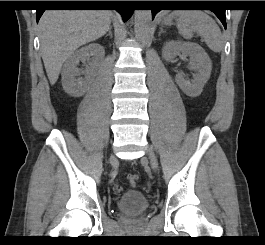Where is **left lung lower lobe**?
Here are the masks:
<instances>
[{
  "mask_svg": "<svg viewBox=\"0 0 265 245\" xmlns=\"http://www.w3.org/2000/svg\"><path fill=\"white\" fill-rule=\"evenodd\" d=\"M195 1H165V2H158V6H172V7H187V6H193L195 5ZM159 8L152 9V17L155 16V14L160 11ZM212 12L220 19L224 27L226 28V16H225V10L221 8L211 9Z\"/></svg>",
  "mask_w": 265,
  "mask_h": 245,
  "instance_id": "0a47b994",
  "label": "left lung lower lobe"
}]
</instances>
